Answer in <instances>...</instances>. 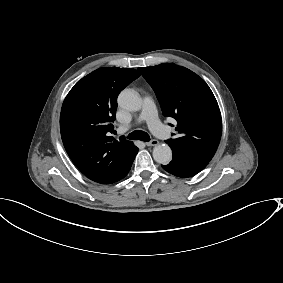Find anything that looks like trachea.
Here are the masks:
<instances>
[{
	"mask_svg": "<svg viewBox=\"0 0 283 283\" xmlns=\"http://www.w3.org/2000/svg\"><path fill=\"white\" fill-rule=\"evenodd\" d=\"M126 138L132 139V140H141V141H145V142H149L151 140L148 133L141 131V130L133 131L132 133L128 134V136H126Z\"/></svg>",
	"mask_w": 283,
	"mask_h": 283,
	"instance_id": "3493384b",
	"label": "trachea"
}]
</instances>
